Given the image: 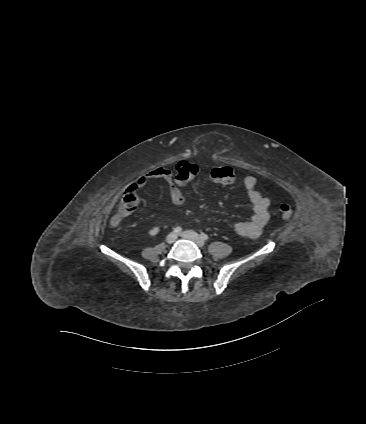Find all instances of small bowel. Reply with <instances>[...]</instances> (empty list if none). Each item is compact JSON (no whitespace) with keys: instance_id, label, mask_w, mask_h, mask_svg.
Returning <instances> with one entry per match:
<instances>
[{"instance_id":"obj_1","label":"small bowel","mask_w":366,"mask_h":424,"mask_svg":"<svg viewBox=\"0 0 366 424\" xmlns=\"http://www.w3.org/2000/svg\"><path fill=\"white\" fill-rule=\"evenodd\" d=\"M221 170L226 172L233 171L232 168L228 166H221ZM151 179H163L166 181L169 187L171 200L174 204L182 205L185 202V196L174 182L172 172L169 169L162 167L156 168L146 175L139 177L135 182V186L142 187ZM215 182L227 184L217 180H215ZM256 184L257 180L253 176H247L243 179V186L253 207V215L251 220L239 222L233 226L234 233L242 238L258 237L269 220V199L256 190Z\"/></svg>"}]
</instances>
